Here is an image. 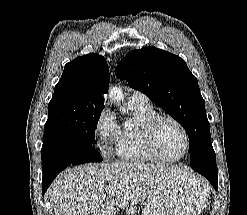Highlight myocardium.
<instances>
[{
	"label": "myocardium",
	"instance_id": "obj_1",
	"mask_svg": "<svg viewBox=\"0 0 247 215\" xmlns=\"http://www.w3.org/2000/svg\"><path fill=\"white\" fill-rule=\"evenodd\" d=\"M164 121H170L174 124H176L180 130L182 131L185 139V148L183 153L178 156V157H167L163 155L157 145V139H156V133L159 125L164 122ZM142 132L144 136V141L145 144L149 150V152L158 160L161 161H167V162H174V161H179L183 159L190 148V136L187 128L184 126V124L178 120L177 118L170 116V115H156L149 121H147L143 126H142Z\"/></svg>",
	"mask_w": 247,
	"mask_h": 215
}]
</instances>
